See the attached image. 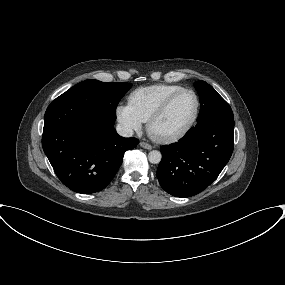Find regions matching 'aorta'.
Segmentation results:
<instances>
[{"mask_svg":"<svg viewBox=\"0 0 285 285\" xmlns=\"http://www.w3.org/2000/svg\"><path fill=\"white\" fill-rule=\"evenodd\" d=\"M162 155L160 151L152 150L148 154L149 162L152 164H158L161 161Z\"/></svg>","mask_w":285,"mask_h":285,"instance_id":"obj_1","label":"aorta"}]
</instances>
